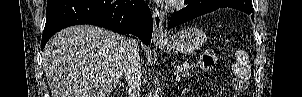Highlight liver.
Wrapping results in <instances>:
<instances>
[{"label": "liver", "instance_id": "6515ba94", "mask_svg": "<svg viewBox=\"0 0 302 97\" xmlns=\"http://www.w3.org/2000/svg\"><path fill=\"white\" fill-rule=\"evenodd\" d=\"M125 39L92 25L56 33L42 54L52 97H108L123 73Z\"/></svg>", "mask_w": 302, "mask_h": 97}]
</instances>
